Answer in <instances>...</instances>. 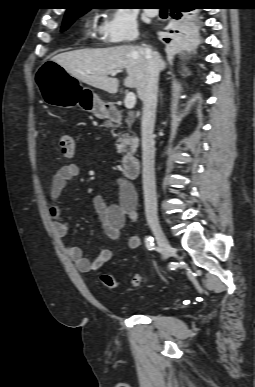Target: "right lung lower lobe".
<instances>
[{"label": "right lung lower lobe", "instance_id": "98d812e1", "mask_svg": "<svg viewBox=\"0 0 255 387\" xmlns=\"http://www.w3.org/2000/svg\"><path fill=\"white\" fill-rule=\"evenodd\" d=\"M197 3L192 0H183L172 4L170 9V16L174 19H189L195 15ZM186 32L189 31L188 26L185 27ZM182 33V32H181ZM169 42L170 39H165Z\"/></svg>", "mask_w": 255, "mask_h": 387}]
</instances>
